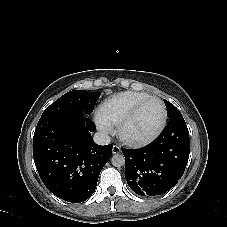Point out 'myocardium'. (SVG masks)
<instances>
[{
  "label": "myocardium",
  "mask_w": 227,
  "mask_h": 227,
  "mask_svg": "<svg viewBox=\"0 0 227 227\" xmlns=\"http://www.w3.org/2000/svg\"><path fill=\"white\" fill-rule=\"evenodd\" d=\"M150 101H157L163 109V117L158 127L147 137L136 139L129 137L126 133L127 127L135 120L141 109ZM168 119L167 107L164 101L158 97L150 96L140 102L127 116H125L118 124L117 133L119 138L127 145L133 147H142L152 143L164 130Z\"/></svg>",
  "instance_id": "myocardium-1"
}]
</instances>
